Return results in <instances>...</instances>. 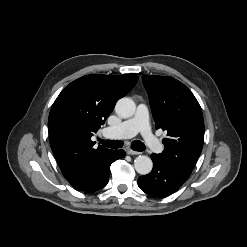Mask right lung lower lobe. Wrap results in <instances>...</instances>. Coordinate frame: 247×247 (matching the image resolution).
I'll list each match as a JSON object with an SVG mask.
<instances>
[{
	"mask_svg": "<svg viewBox=\"0 0 247 247\" xmlns=\"http://www.w3.org/2000/svg\"><path fill=\"white\" fill-rule=\"evenodd\" d=\"M125 157V152L123 150H113L110 155L106 159L102 168L98 171V173L91 178L87 183L74 187L79 191H83L85 193H92L96 190L102 189L105 187L109 181L110 176V165L117 160L118 158Z\"/></svg>",
	"mask_w": 247,
	"mask_h": 247,
	"instance_id": "right-lung-lower-lobe-1",
	"label": "right lung lower lobe"
}]
</instances>
